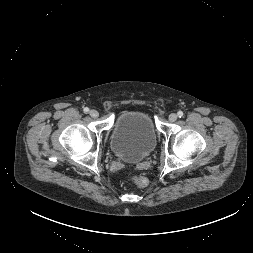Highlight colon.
I'll return each instance as SVG.
<instances>
[{
  "label": "colon",
  "mask_w": 253,
  "mask_h": 253,
  "mask_svg": "<svg viewBox=\"0 0 253 253\" xmlns=\"http://www.w3.org/2000/svg\"><path fill=\"white\" fill-rule=\"evenodd\" d=\"M133 182L140 188H144L147 186L148 181L146 178L142 176H133Z\"/></svg>",
  "instance_id": "colon-1"
}]
</instances>
